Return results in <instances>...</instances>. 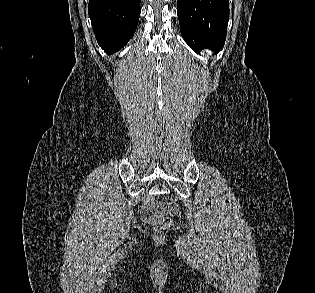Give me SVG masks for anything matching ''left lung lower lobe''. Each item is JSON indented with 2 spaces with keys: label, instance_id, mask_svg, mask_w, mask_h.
<instances>
[{
  "label": "left lung lower lobe",
  "instance_id": "1",
  "mask_svg": "<svg viewBox=\"0 0 315 293\" xmlns=\"http://www.w3.org/2000/svg\"><path fill=\"white\" fill-rule=\"evenodd\" d=\"M177 14L181 35L192 49L223 48L229 19L228 0H177Z\"/></svg>",
  "mask_w": 315,
  "mask_h": 293
}]
</instances>
